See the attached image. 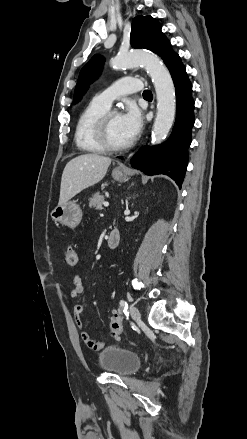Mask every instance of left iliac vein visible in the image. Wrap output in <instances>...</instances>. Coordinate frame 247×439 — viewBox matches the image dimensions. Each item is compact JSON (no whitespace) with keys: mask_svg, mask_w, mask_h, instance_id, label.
Listing matches in <instances>:
<instances>
[{"mask_svg":"<svg viewBox=\"0 0 247 439\" xmlns=\"http://www.w3.org/2000/svg\"><path fill=\"white\" fill-rule=\"evenodd\" d=\"M130 313H131L133 320H135V321L140 320V318H141L140 312L137 309V307H135L134 305L130 306Z\"/></svg>","mask_w":247,"mask_h":439,"instance_id":"left-iliac-vein-1","label":"left iliac vein"}]
</instances>
